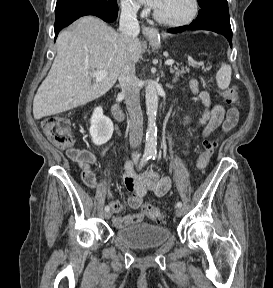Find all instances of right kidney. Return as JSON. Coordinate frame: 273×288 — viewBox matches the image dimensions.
Masks as SVG:
<instances>
[{
  "instance_id": "obj_1",
  "label": "right kidney",
  "mask_w": 273,
  "mask_h": 288,
  "mask_svg": "<svg viewBox=\"0 0 273 288\" xmlns=\"http://www.w3.org/2000/svg\"><path fill=\"white\" fill-rule=\"evenodd\" d=\"M90 121L92 141L98 146L107 143L112 137L114 127L111 119L103 114L102 107L95 108Z\"/></svg>"
}]
</instances>
